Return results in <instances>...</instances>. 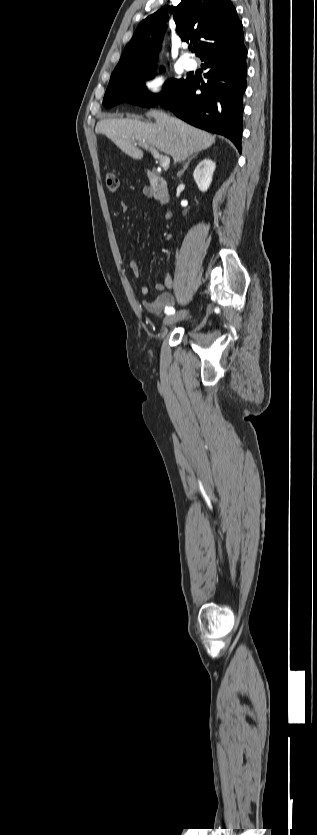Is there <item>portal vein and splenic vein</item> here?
<instances>
[{"instance_id": "18ae733b", "label": "portal vein and splenic vein", "mask_w": 317, "mask_h": 835, "mask_svg": "<svg viewBox=\"0 0 317 835\" xmlns=\"http://www.w3.org/2000/svg\"><path fill=\"white\" fill-rule=\"evenodd\" d=\"M140 146L149 150L151 152V154L154 156V158L159 159L161 167L165 168V167L169 166L170 158L168 156L160 155L159 152L154 147L149 146L148 144L143 143V144H140Z\"/></svg>"}]
</instances>
